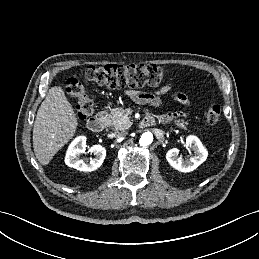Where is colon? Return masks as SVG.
<instances>
[{
    "label": "colon",
    "mask_w": 259,
    "mask_h": 259,
    "mask_svg": "<svg viewBox=\"0 0 259 259\" xmlns=\"http://www.w3.org/2000/svg\"><path fill=\"white\" fill-rule=\"evenodd\" d=\"M168 72L158 65H106L89 66L83 72L86 81L110 88H142L162 83ZM65 92L77 100L75 111L80 119H86L94 111V102L84 85L76 78H69ZM206 121L214 125L221 118V108L217 104L208 107Z\"/></svg>",
    "instance_id": "obj_1"
}]
</instances>
